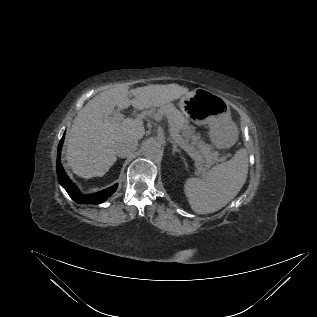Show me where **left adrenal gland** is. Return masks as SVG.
<instances>
[{
  "label": "left adrenal gland",
  "instance_id": "1",
  "mask_svg": "<svg viewBox=\"0 0 317 317\" xmlns=\"http://www.w3.org/2000/svg\"><path fill=\"white\" fill-rule=\"evenodd\" d=\"M170 143L173 146L172 153L173 154H175L176 152L180 153V150L177 148V144L173 140H170Z\"/></svg>",
  "mask_w": 317,
  "mask_h": 317
}]
</instances>
